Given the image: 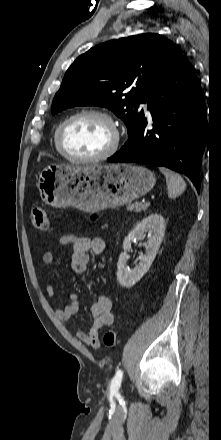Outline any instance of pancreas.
I'll use <instances>...</instances> for the list:
<instances>
[{
	"instance_id": "obj_1",
	"label": "pancreas",
	"mask_w": 221,
	"mask_h": 440,
	"mask_svg": "<svg viewBox=\"0 0 221 440\" xmlns=\"http://www.w3.org/2000/svg\"><path fill=\"white\" fill-rule=\"evenodd\" d=\"M149 205L146 204H142L140 202H135L133 204H128L127 205V210L128 211H133L135 210L136 212H141V211H145L148 208Z\"/></svg>"
}]
</instances>
